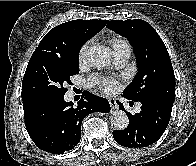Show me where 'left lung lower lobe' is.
Instances as JSON below:
<instances>
[{
	"label": "left lung lower lobe",
	"instance_id": "0a47b994",
	"mask_svg": "<svg viewBox=\"0 0 196 166\" xmlns=\"http://www.w3.org/2000/svg\"><path fill=\"white\" fill-rule=\"evenodd\" d=\"M139 102L142 104L140 113H127V128L113 131L115 141L122 146L140 148L151 145L162 136L169 123L172 102L156 97H146ZM117 103L124 110L123 104Z\"/></svg>",
	"mask_w": 196,
	"mask_h": 166
}]
</instances>
